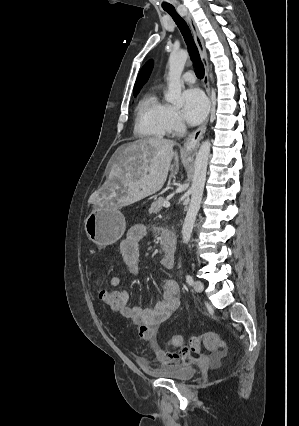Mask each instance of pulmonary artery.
Masks as SVG:
<instances>
[{
    "mask_svg": "<svg viewBox=\"0 0 299 426\" xmlns=\"http://www.w3.org/2000/svg\"><path fill=\"white\" fill-rule=\"evenodd\" d=\"M182 80L186 83L192 84L195 82V74L192 71H187L183 74Z\"/></svg>",
    "mask_w": 299,
    "mask_h": 426,
    "instance_id": "obj_1",
    "label": "pulmonary artery"
}]
</instances>
